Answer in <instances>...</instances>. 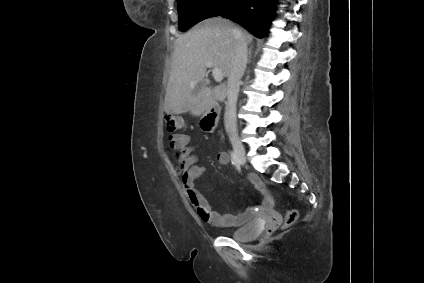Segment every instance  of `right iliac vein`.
Listing matches in <instances>:
<instances>
[{
	"label": "right iliac vein",
	"instance_id": "right-iliac-vein-1",
	"mask_svg": "<svg viewBox=\"0 0 424 283\" xmlns=\"http://www.w3.org/2000/svg\"><path fill=\"white\" fill-rule=\"evenodd\" d=\"M231 142L239 164L243 165L246 162L245 149L243 147V144L236 136H233L231 138Z\"/></svg>",
	"mask_w": 424,
	"mask_h": 283
}]
</instances>
